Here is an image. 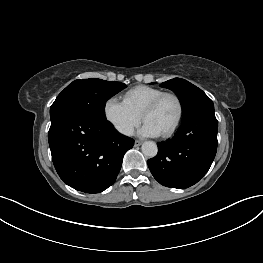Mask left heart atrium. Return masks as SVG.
Segmentation results:
<instances>
[{
	"mask_svg": "<svg viewBox=\"0 0 263 263\" xmlns=\"http://www.w3.org/2000/svg\"><path fill=\"white\" fill-rule=\"evenodd\" d=\"M138 133L141 136H145V137H156L161 134L154 125L146 121L143 124V126L139 129Z\"/></svg>",
	"mask_w": 263,
	"mask_h": 263,
	"instance_id": "left-heart-atrium-1",
	"label": "left heart atrium"
}]
</instances>
